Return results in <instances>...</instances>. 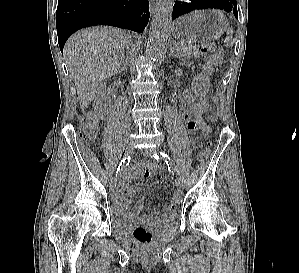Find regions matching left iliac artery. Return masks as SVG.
<instances>
[{
  "label": "left iliac artery",
  "instance_id": "left-iliac-artery-1",
  "mask_svg": "<svg viewBox=\"0 0 299 273\" xmlns=\"http://www.w3.org/2000/svg\"><path fill=\"white\" fill-rule=\"evenodd\" d=\"M152 157H154L155 159H163L165 160L167 166H168V169L171 171V172H178V168L177 166L175 165V163L173 162V160L167 155L165 154L164 152H156L152 155Z\"/></svg>",
  "mask_w": 299,
  "mask_h": 273
}]
</instances>
